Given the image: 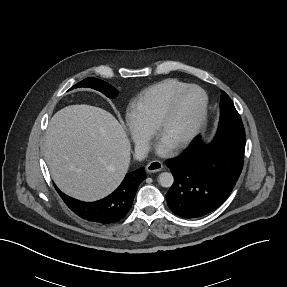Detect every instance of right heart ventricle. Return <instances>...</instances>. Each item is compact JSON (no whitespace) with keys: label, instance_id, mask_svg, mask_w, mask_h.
Wrapping results in <instances>:
<instances>
[{"label":"right heart ventricle","instance_id":"e07e8e85","mask_svg":"<svg viewBox=\"0 0 287 287\" xmlns=\"http://www.w3.org/2000/svg\"><path fill=\"white\" fill-rule=\"evenodd\" d=\"M185 86L179 80L166 79L148 87L133 102L130 115L143 128L153 130L172 95Z\"/></svg>","mask_w":287,"mask_h":287}]
</instances>
